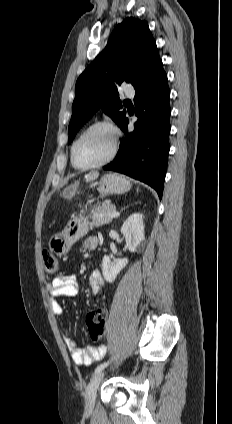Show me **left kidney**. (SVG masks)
Returning a JSON list of instances; mask_svg holds the SVG:
<instances>
[{"instance_id": "1", "label": "left kidney", "mask_w": 232, "mask_h": 424, "mask_svg": "<svg viewBox=\"0 0 232 424\" xmlns=\"http://www.w3.org/2000/svg\"><path fill=\"white\" fill-rule=\"evenodd\" d=\"M121 233L125 237L126 247L130 252H135L137 249H143L145 246L143 214L134 213L130 215L123 223ZM127 264V258L115 259L105 255L102 261L104 279L112 283Z\"/></svg>"}]
</instances>
